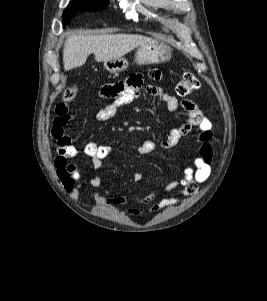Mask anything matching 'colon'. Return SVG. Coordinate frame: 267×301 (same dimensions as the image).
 I'll return each instance as SVG.
<instances>
[{"label": "colon", "mask_w": 267, "mask_h": 301, "mask_svg": "<svg viewBox=\"0 0 267 301\" xmlns=\"http://www.w3.org/2000/svg\"><path fill=\"white\" fill-rule=\"evenodd\" d=\"M199 87V81L195 75L189 71H186L181 76L176 91L180 96H187L196 91ZM77 95V89L74 86L67 87L62 95L64 102H71Z\"/></svg>", "instance_id": "1"}]
</instances>
